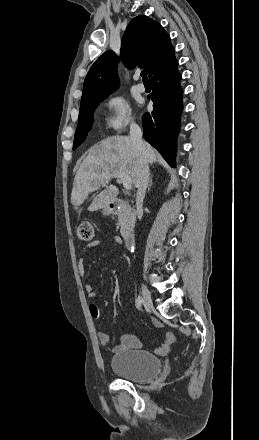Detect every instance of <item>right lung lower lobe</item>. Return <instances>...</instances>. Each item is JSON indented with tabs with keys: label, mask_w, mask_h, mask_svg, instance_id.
Returning <instances> with one entry per match:
<instances>
[{
	"label": "right lung lower lobe",
	"mask_w": 259,
	"mask_h": 440,
	"mask_svg": "<svg viewBox=\"0 0 259 440\" xmlns=\"http://www.w3.org/2000/svg\"><path fill=\"white\" fill-rule=\"evenodd\" d=\"M178 62L172 56L149 77L152 83L153 111L142 117L143 136L164 159L175 167L177 134L180 129L183 90Z\"/></svg>",
	"instance_id": "1"
}]
</instances>
